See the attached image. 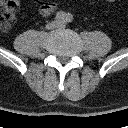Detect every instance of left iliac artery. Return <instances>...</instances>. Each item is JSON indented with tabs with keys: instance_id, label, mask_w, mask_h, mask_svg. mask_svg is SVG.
Wrapping results in <instances>:
<instances>
[{
	"instance_id": "44dca946",
	"label": "left iliac artery",
	"mask_w": 128,
	"mask_h": 128,
	"mask_svg": "<svg viewBox=\"0 0 128 128\" xmlns=\"http://www.w3.org/2000/svg\"><path fill=\"white\" fill-rule=\"evenodd\" d=\"M65 21H66L67 23L72 22V21H73V15L70 14V13L66 14Z\"/></svg>"
}]
</instances>
